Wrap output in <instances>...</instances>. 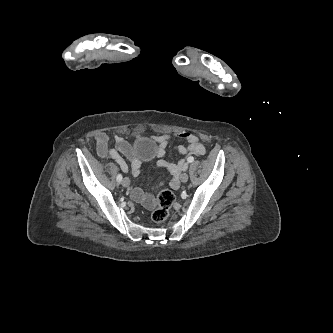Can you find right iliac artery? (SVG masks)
I'll return each instance as SVG.
<instances>
[{
    "label": "right iliac artery",
    "mask_w": 333,
    "mask_h": 333,
    "mask_svg": "<svg viewBox=\"0 0 333 333\" xmlns=\"http://www.w3.org/2000/svg\"><path fill=\"white\" fill-rule=\"evenodd\" d=\"M116 179H117V182L120 183L122 181V175L118 174Z\"/></svg>",
    "instance_id": "right-iliac-artery-1"
}]
</instances>
